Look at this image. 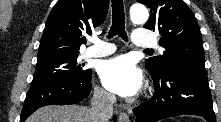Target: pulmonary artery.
<instances>
[{"instance_id":"1","label":"pulmonary artery","mask_w":221,"mask_h":122,"mask_svg":"<svg viewBox=\"0 0 221 122\" xmlns=\"http://www.w3.org/2000/svg\"><path fill=\"white\" fill-rule=\"evenodd\" d=\"M92 46L84 53L86 57H104L115 52L116 48L112 43L100 40L97 37L90 39ZM132 42L136 47L148 49L158 47L156 38L144 30H136L133 33ZM161 50V48H159Z\"/></svg>"}]
</instances>
